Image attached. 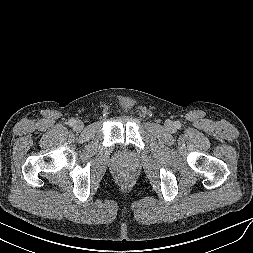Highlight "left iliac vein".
<instances>
[{"instance_id":"4c4485c4","label":"left iliac vein","mask_w":253,"mask_h":253,"mask_svg":"<svg viewBox=\"0 0 253 253\" xmlns=\"http://www.w3.org/2000/svg\"><path fill=\"white\" fill-rule=\"evenodd\" d=\"M166 127H167V129H168V130H170V131H171V130H173V127H172V125H171V124H167V126H166Z\"/></svg>"}]
</instances>
